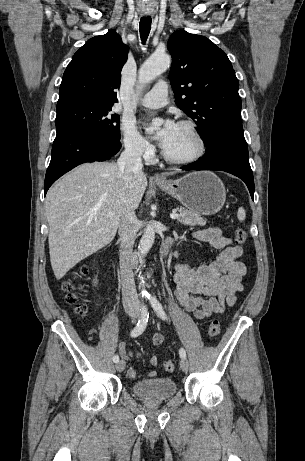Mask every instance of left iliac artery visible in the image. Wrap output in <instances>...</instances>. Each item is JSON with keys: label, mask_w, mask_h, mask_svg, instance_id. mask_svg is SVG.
Instances as JSON below:
<instances>
[{"label": "left iliac artery", "mask_w": 305, "mask_h": 461, "mask_svg": "<svg viewBox=\"0 0 305 461\" xmlns=\"http://www.w3.org/2000/svg\"><path fill=\"white\" fill-rule=\"evenodd\" d=\"M148 299L150 300L151 306L156 312V314L163 320L167 319L166 313L161 305V303L156 299L155 296H148ZM179 355L181 358H186V351L184 348H180L179 350Z\"/></svg>", "instance_id": "44dca946"}]
</instances>
